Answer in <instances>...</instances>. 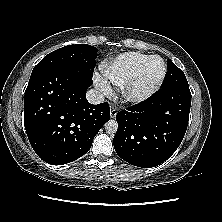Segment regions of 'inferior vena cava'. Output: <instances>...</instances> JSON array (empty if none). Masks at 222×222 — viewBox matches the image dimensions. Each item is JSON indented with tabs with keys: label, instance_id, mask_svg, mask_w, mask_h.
<instances>
[{
	"label": "inferior vena cava",
	"instance_id": "inferior-vena-cava-1",
	"mask_svg": "<svg viewBox=\"0 0 222 222\" xmlns=\"http://www.w3.org/2000/svg\"><path fill=\"white\" fill-rule=\"evenodd\" d=\"M86 98L89 103L95 104V105L100 104V103L104 102V100H105L104 95L95 89H91V90L87 91Z\"/></svg>",
	"mask_w": 222,
	"mask_h": 222
}]
</instances>
